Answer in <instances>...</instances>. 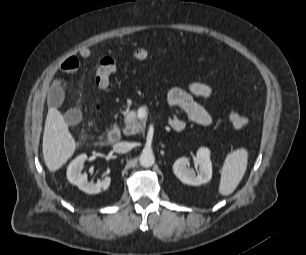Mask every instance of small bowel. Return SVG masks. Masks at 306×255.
<instances>
[{"label":"small bowel","mask_w":306,"mask_h":255,"mask_svg":"<svg viewBox=\"0 0 306 255\" xmlns=\"http://www.w3.org/2000/svg\"><path fill=\"white\" fill-rule=\"evenodd\" d=\"M79 55L86 59L90 57L91 52L85 48L80 51ZM79 66L78 58L76 56H69L61 62L59 70L63 73L71 74L76 72ZM46 82L49 104L52 107L60 106L64 97L62 80L55 73H51L47 77ZM213 94L214 91L210 85L194 81L190 82L185 88L176 87L171 89L167 94V103L170 108L181 109L194 123L201 126H210L214 121L212 115L195 98H211ZM80 118L81 113L77 109H70L65 113V120L70 125L77 124ZM168 123L176 131H181L185 128V121L176 115L171 116Z\"/></svg>","instance_id":"1"}]
</instances>
